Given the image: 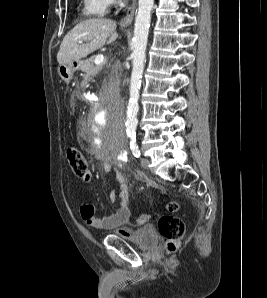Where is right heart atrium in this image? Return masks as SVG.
<instances>
[{
	"mask_svg": "<svg viewBox=\"0 0 267 298\" xmlns=\"http://www.w3.org/2000/svg\"><path fill=\"white\" fill-rule=\"evenodd\" d=\"M106 6L110 7L115 3V0H105Z\"/></svg>",
	"mask_w": 267,
	"mask_h": 298,
	"instance_id": "obj_1",
	"label": "right heart atrium"
}]
</instances>
